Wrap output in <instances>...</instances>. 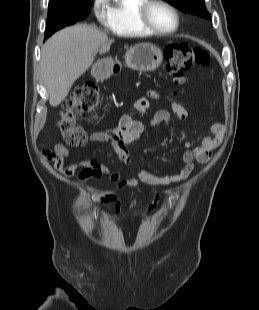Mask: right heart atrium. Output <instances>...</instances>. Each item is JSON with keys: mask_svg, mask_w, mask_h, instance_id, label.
<instances>
[{"mask_svg": "<svg viewBox=\"0 0 259 310\" xmlns=\"http://www.w3.org/2000/svg\"><path fill=\"white\" fill-rule=\"evenodd\" d=\"M92 12L98 22L105 24L108 20V0H93Z\"/></svg>", "mask_w": 259, "mask_h": 310, "instance_id": "obj_1", "label": "right heart atrium"}]
</instances>
